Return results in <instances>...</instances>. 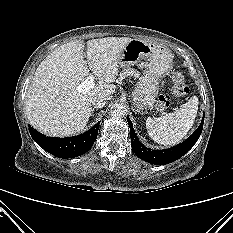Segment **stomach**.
<instances>
[{
    "mask_svg": "<svg viewBox=\"0 0 233 233\" xmlns=\"http://www.w3.org/2000/svg\"><path fill=\"white\" fill-rule=\"evenodd\" d=\"M142 58L147 60V65L132 93L134 106L138 112L156 102L159 82L172 63V54L167 48L149 41L132 39L121 51L119 65L131 66Z\"/></svg>",
    "mask_w": 233,
    "mask_h": 233,
    "instance_id": "obj_1",
    "label": "stomach"
}]
</instances>
